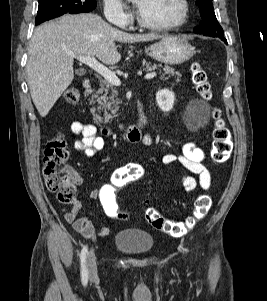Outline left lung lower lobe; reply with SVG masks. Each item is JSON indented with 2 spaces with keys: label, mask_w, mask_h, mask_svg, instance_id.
I'll return each mask as SVG.
<instances>
[{
  "label": "left lung lower lobe",
  "mask_w": 267,
  "mask_h": 301,
  "mask_svg": "<svg viewBox=\"0 0 267 301\" xmlns=\"http://www.w3.org/2000/svg\"><path fill=\"white\" fill-rule=\"evenodd\" d=\"M219 38L227 44V40L224 38V36H219Z\"/></svg>",
  "instance_id": "0a47b994"
}]
</instances>
